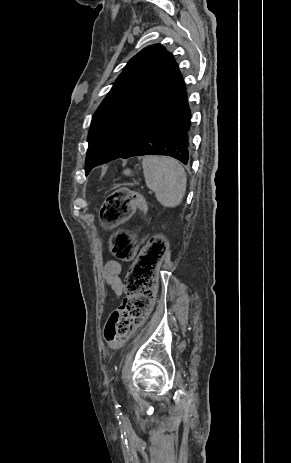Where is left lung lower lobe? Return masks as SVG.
Returning a JSON list of instances; mask_svg holds the SVG:
<instances>
[{"label":"left lung lower lobe","mask_w":291,"mask_h":463,"mask_svg":"<svg viewBox=\"0 0 291 463\" xmlns=\"http://www.w3.org/2000/svg\"><path fill=\"white\" fill-rule=\"evenodd\" d=\"M190 117L187 94L184 91L174 107L145 134L134 148L125 155L99 160L93 167L117 158L126 159L144 155L171 156L187 165L190 161ZM90 171H87L86 175Z\"/></svg>","instance_id":"obj_1"}]
</instances>
